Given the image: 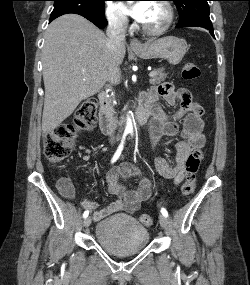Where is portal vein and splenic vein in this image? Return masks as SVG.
I'll use <instances>...</instances> for the list:
<instances>
[{"label": "portal vein and splenic vein", "instance_id": "obj_1", "mask_svg": "<svg viewBox=\"0 0 250 285\" xmlns=\"http://www.w3.org/2000/svg\"><path fill=\"white\" fill-rule=\"evenodd\" d=\"M155 75H156V72H154V71H151V72L148 74L149 77H153V76H155Z\"/></svg>", "mask_w": 250, "mask_h": 285}]
</instances>
